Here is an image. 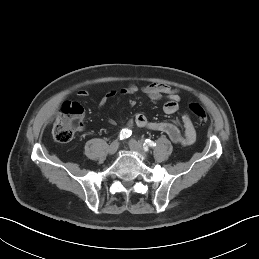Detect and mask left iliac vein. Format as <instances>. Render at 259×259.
Instances as JSON below:
<instances>
[{
	"instance_id": "1",
	"label": "left iliac vein",
	"mask_w": 259,
	"mask_h": 259,
	"mask_svg": "<svg viewBox=\"0 0 259 259\" xmlns=\"http://www.w3.org/2000/svg\"><path fill=\"white\" fill-rule=\"evenodd\" d=\"M129 147L132 151L137 152L140 156H142L143 158H146L147 155L144 151V148L136 140L131 139L129 141Z\"/></svg>"
}]
</instances>
